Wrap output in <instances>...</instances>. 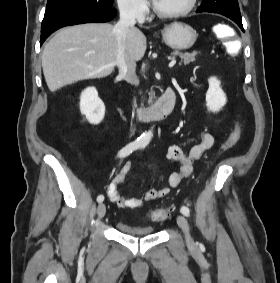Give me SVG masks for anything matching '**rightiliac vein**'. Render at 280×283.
<instances>
[{"instance_id": "1", "label": "right iliac vein", "mask_w": 280, "mask_h": 283, "mask_svg": "<svg viewBox=\"0 0 280 283\" xmlns=\"http://www.w3.org/2000/svg\"><path fill=\"white\" fill-rule=\"evenodd\" d=\"M105 213H106V206H105V204L100 203L97 207V214H98L99 218L104 217Z\"/></svg>"}]
</instances>
